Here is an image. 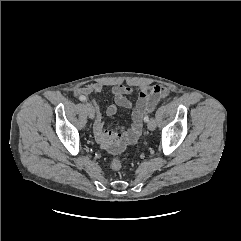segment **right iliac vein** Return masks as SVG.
Wrapping results in <instances>:
<instances>
[{
	"mask_svg": "<svg viewBox=\"0 0 241 241\" xmlns=\"http://www.w3.org/2000/svg\"><path fill=\"white\" fill-rule=\"evenodd\" d=\"M85 108H86V112H87L89 118L93 119L94 115H95V109H94L93 105L90 103H86Z\"/></svg>",
	"mask_w": 241,
	"mask_h": 241,
	"instance_id": "1",
	"label": "right iliac vein"
}]
</instances>
